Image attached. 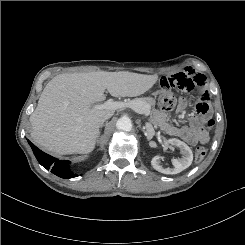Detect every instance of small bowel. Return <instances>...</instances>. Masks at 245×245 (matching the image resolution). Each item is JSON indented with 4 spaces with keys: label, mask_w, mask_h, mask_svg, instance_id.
Instances as JSON below:
<instances>
[{
    "label": "small bowel",
    "mask_w": 245,
    "mask_h": 245,
    "mask_svg": "<svg viewBox=\"0 0 245 245\" xmlns=\"http://www.w3.org/2000/svg\"><path fill=\"white\" fill-rule=\"evenodd\" d=\"M158 84L159 87L165 91L170 90L173 87V84H175V87L184 91H192L194 89L199 91L200 100L195 106L199 116H191L188 125L170 124L164 112H157L155 120L165 133L178 137L189 145L207 143L209 139L208 133L203 128L209 113V104L204 91L206 86L205 77L191 68H185L171 76H162L159 79ZM185 106L186 102L181 100L178 105V110L182 111Z\"/></svg>",
    "instance_id": "obj_1"
}]
</instances>
